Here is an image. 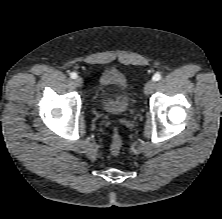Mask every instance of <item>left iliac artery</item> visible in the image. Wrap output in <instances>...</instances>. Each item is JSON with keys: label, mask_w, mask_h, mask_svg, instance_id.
<instances>
[{"label": "left iliac artery", "mask_w": 222, "mask_h": 219, "mask_svg": "<svg viewBox=\"0 0 222 219\" xmlns=\"http://www.w3.org/2000/svg\"><path fill=\"white\" fill-rule=\"evenodd\" d=\"M153 81H159L161 79V75L159 73H156L153 77H152Z\"/></svg>", "instance_id": "1"}]
</instances>
